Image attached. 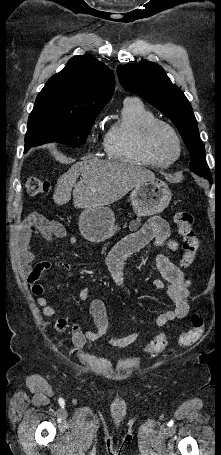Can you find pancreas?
<instances>
[{"label": "pancreas", "mask_w": 221, "mask_h": 455, "mask_svg": "<svg viewBox=\"0 0 221 455\" xmlns=\"http://www.w3.org/2000/svg\"><path fill=\"white\" fill-rule=\"evenodd\" d=\"M140 226V222L137 219V221H132L129 225V228L132 230H136Z\"/></svg>", "instance_id": "obj_1"}]
</instances>
